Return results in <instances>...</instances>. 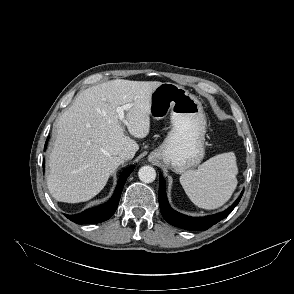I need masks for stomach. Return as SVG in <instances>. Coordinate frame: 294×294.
Masks as SVG:
<instances>
[{
  "label": "stomach",
  "mask_w": 294,
  "mask_h": 294,
  "mask_svg": "<svg viewBox=\"0 0 294 294\" xmlns=\"http://www.w3.org/2000/svg\"><path fill=\"white\" fill-rule=\"evenodd\" d=\"M169 112L172 128L148 158L162 161L175 173H183L204 157L206 117L197 97L177 84L161 83L151 93L150 115L162 119Z\"/></svg>",
  "instance_id": "1"
}]
</instances>
